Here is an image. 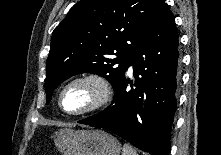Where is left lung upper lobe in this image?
I'll return each instance as SVG.
<instances>
[{
    "mask_svg": "<svg viewBox=\"0 0 221 155\" xmlns=\"http://www.w3.org/2000/svg\"><path fill=\"white\" fill-rule=\"evenodd\" d=\"M164 0H81L52 34L47 59V103L54 89L79 73H94L115 89L131 55Z\"/></svg>",
    "mask_w": 221,
    "mask_h": 155,
    "instance_id": "1",
    "label": "left lung upper lobe"
}]
</instances>
